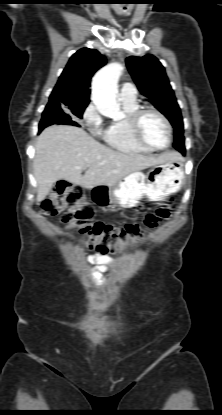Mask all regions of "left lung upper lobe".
<instances>
[{
  "instance_id": "obj_1",
  "label": "left lung upper lobe",
  "mask_w": 222,
  "mask_h": 415,
  "mask_svg": "<svg viewBox=\"0 0 222 415\" xmlns=\"http://www.w3.org/2000/svg\"><path fill=\"white\" fill-rule=\"evenodd\" d=\"M126 64L139 91L171 122L174 148L185 152L181 111L162 64L153 55L130 56Z\"/></svg>"
}]
</instances>
